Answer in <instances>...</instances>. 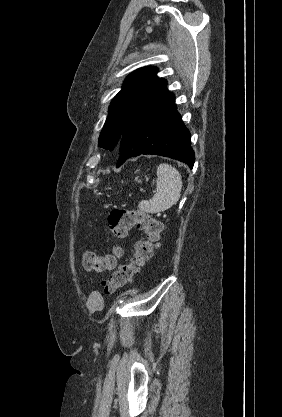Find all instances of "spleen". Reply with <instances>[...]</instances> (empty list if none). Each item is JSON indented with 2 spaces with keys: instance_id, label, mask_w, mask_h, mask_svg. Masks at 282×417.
I'll use <instances>...</instances> for the list:
<instances>
[{
  "instance_id": "obj_1",
  "label": "spleen",
  "mask_w": 282,
  "mask_h": 417,
  "mask_svg": "<svg viewBox=\"0 0 282 417\" xmlns=\"http://www.w3.org/2000/svg\"><path fill=\"white\" fill-rule=\"evenodd\" d=\"M182 188L179 170L162 162L157 166L156 192L151 200H141L138 206L144 213H163L176 204Z\"/></svg>"
}]
</instances>
